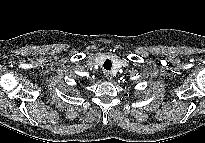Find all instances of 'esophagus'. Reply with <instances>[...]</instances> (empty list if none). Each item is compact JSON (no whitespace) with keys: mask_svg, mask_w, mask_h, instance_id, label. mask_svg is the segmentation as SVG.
Listing matches in <instances>:
<instances>
[{"mask_svg":"<svg viewBox=\"0 0 205 143\" xmlns=\"http://www.w3.org/2000/svg\"><path fill=\"white\" fill-rule=\"evenodd\" d=\"M106 78H107V80L112 81L113 77H112L110 72L106 73Z\"/></svg>","mask_w":205,"mask_h":143,"instance_id":"esophagus-1","label":"esophagus"}]
</instances>
